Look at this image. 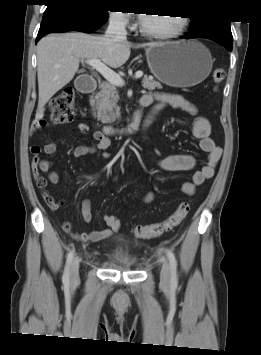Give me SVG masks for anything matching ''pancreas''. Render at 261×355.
I'll use <instances>...</instances> for the list:
<instances>
[{"mask_svg":"<svg viewBox=\"0 0 261 355\" xmlns=\"http://www.w3.org/2000/svg\"><path fill=\"white\" fill-rule=\"evenodd\" d=\"M142 86L148 90L156 88L161 89L162 86L159 82L145 76L142 80ZM119 100L118 91L116 86L104 82L100 85V91L90 99V104L95 107L97 112V119L103 124H112L116 119L120 118V108L117 105Z\"/></svg>","mask_w":261,"mask_h":355,"instance_id":"pancreas-1","label":"pancreas"}]
</instances>
